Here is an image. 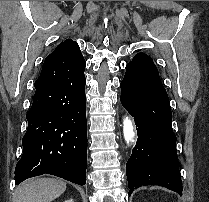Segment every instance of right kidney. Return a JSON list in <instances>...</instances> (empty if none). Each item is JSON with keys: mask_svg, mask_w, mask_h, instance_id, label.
I'll use <instances>...</instances> for the list:
<instances>
[{"mask_svg": "<svg viewBox=\"0 0 209 202\" xmlns=\"http://www.w3.org/2000/svg\"><path fill=\"white\" fill-rule=\"evenodd\" d=\"M65 202H74L72 199L66 200Z\"/></svg>", "mask_w": 209, "mask_h": 202, "instance_id": "1", "label": "right kidney"}]
</instances>
